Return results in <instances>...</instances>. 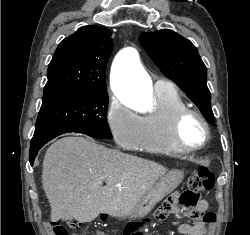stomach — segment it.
<instances>
[{"instance_id": "obj_1", "label": "stomach", "mask_w": 250, "mask_h": 235, "mask_svg": "<svg viewBox=\"0 0 250 235\" xmlns=\"http://www.w3.org/2000/svg\"><path fill=\"white\" fill-rule=\"evenodd\" d=\"M184 178L180 170L166 173L134 206L131 213L126 215L129 219L146 216L154 206L165 196L173 192Z\"/></svg>"}]
</instances>
